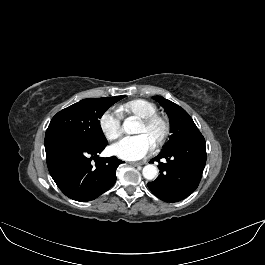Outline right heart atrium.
<instances>
[{
    "mask_svg": "<svg viewBox=\"0 0 265 265\" xmlns=\"http://www.w3.org/2000/svg\"><path fill=\"white\" fill-rule=\"evenodd\" d=\"M99 128L106 139L116 140L122 133V116L114 109L104 111L98 120Z\"/></svg>",
    "mask_w": 265,
    "mask_h": 265,
    "instance_id": "1",
    "label": "right heart atrium"
}]
</instances>
